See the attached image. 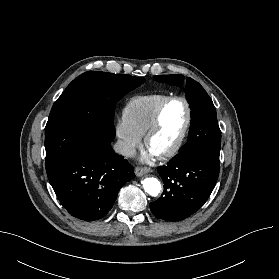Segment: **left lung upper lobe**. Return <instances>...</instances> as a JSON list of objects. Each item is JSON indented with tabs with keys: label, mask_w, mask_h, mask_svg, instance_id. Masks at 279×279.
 Listing matches in <instances>:
<instances>
[{
	"label": "left lung upper lobe",
	"mask_w": 279,
	"mask_h": 279,
	"mask_svg": "<svg viewBox=\"0 0 279 279\" xmlns=\"http://www.w3.org/2000/svg\"><path fill=\"white\" fill-rule=\"evenodd\" d=\"M153 78L169 85L181 86L184 82V76L179 74ZM185 91L191 108V125L188 142L179 153L194 152L219 162L221 131L213 102L203 87L191 78H187Z\"/></svg>",
	"instance_id": "obj_1"
}]
</instances>
